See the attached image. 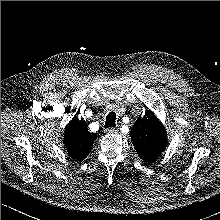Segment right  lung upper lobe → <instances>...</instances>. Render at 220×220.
<instances>
[{
	"label": "right lung upper lobe",
	"mask_w": 220,
	"mask_h": 220,
	"mask_svg": "<svg viewBox=\"0 0 220 220\" xmlns=\"http://www.w3.org/2000/svg\"><path fill=\"white\" fill-rule=\"evenodd\" d=\"M97 134L88 131L84 121L74 117L64 131V144L74 161H82L91 151Z\"/></svg>",
	"instance_id": "obj_1"
}]
</instances>
